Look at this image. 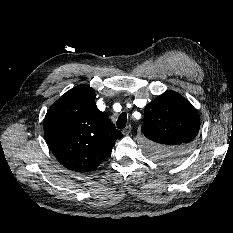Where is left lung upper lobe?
Here are the masks:
<instances>
[{
  "label": "left lung upper lobe",
  "instance_id": "5c2ea615",
  "mask_svg": "<svg viewBox=\"0 0 233 233\" xmlns=\"http://www.w3.org/2000/svg\"><path fill=\"white\" fill-rule=\"evenodd\" d=\"M200 118L180 94L167 91L146 105L142 132L149 139L147 154L157 162L175 164L193 149Z\"/></svg>",
  "mask_w": 233,
  "mask_h": 233
}]
</instances>
